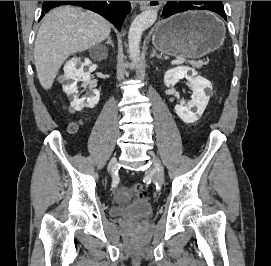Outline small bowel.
Returning a JSON list of instances; mask_svg holds the SVG:
<instances>
[{"mask_svg":"<svg viewBox=\"0 0 271 266\" xmlns=\"http://www.w3.org/2000/svg\"><path fill=\"white\" fill-rule=\"evenodd\" d=\"M128 197H129V192L124 188L120 189L117 193V200L118 201H123V200L127 199Z\"/></svg>","mask_w":271,"mask_h":266,"instance_id":"c3829d8e","label":"small bowel"}]
</instances>
